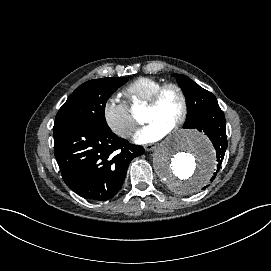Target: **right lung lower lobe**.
Here are the masks:
<instances>
[{"label":"right lung lower lobe","mask_w":271,"mask_h":271,"mask_svg":"<svg viewBox=\"0 0 271 271\" xmlns=\"http://www.w3.org/2000/svg\"><path fill=\"white\" fill-rule=\"evenodd\" d=\"M54 154L66 185L87 200L106 201L121 189L131 160L142 146L108 127L72 125L54 132Z\"/></svg>","instance_id":"98d812e1"}]
</instances>
